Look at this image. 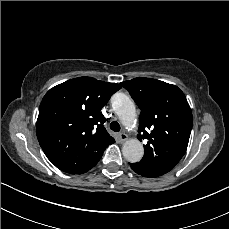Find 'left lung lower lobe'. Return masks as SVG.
I'll return each mask as SVG.
<instances>
[{"mask_svg": "<svg viewBox=\"0 0 229 229\" xmlns=\"http://www.w3.org/2000/svg\"><path fill=\"white\" fill-rule=\"evenodd\" d=\"M132 170L143 177H154L151 172L142 168L137 163H129Z\"/></svg>", "mask_w": 229, "mask_h": 229, "instance_id": "0a47b994", "label": "left lung lower lobe"}]
</instances>
